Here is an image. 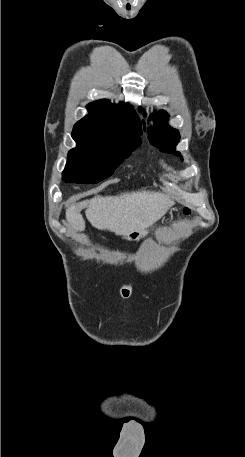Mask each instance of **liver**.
Wrapping results in <instances>:
<instances>
[{"label": "liver", "mask_w": 245, "mask_h": 457, "mask_svg": "<svg viewBox=\"0 0 245 457\" xmlns=\"http://www.w3.org/2000/svg\"><path fill=\"white\" fill-rule=\"evenodd\" d=\"M173 200L154 190L122 192L119 196H94L90 200L73 202L66 208V218L77 233L85 231V220L81 214L86 208V216L95 229L111 231L115 235H126L132 231H141L145 226L159 220Z\"/></svg>", "instance_id": "liver-1"}]
</instances>
